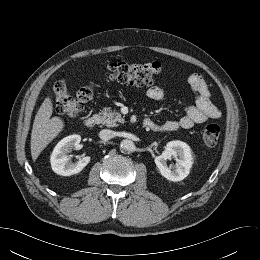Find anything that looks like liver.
Wrapping results in <instances>:
<instances>
[{
	"instance_id": "6515ba94",
	"label": "liver",
	"mask_w": 260,
	"mask_h": 260,
	"mask_svg": "<svg viewBox=\"0 0 260 260\" xmlns=\"http://www.w3.org/2000/svg\"><path fill=\"white\" fill-rule=\"evenodd\" d=\"M53 103L48 96L41 104L32 127L31 156L35 161L46 146L63 130L64 122L58 117H52Z\"/></svg>"
}]
</instances>
